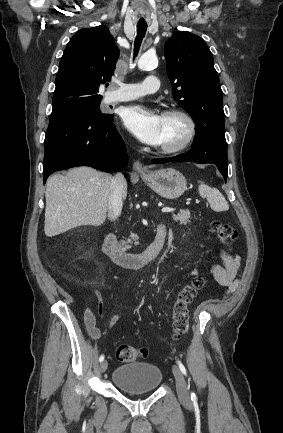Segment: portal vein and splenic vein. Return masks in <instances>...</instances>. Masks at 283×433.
Masks as SVG:
<instances>
[{
    "instance_id": "1",
    "label": "portal vein and splenic vein",
    "mask_w": 283,
    "mask_h": 433,
    "mask_svg": "<svg viewBox=\"0 0 283 433\" xmlns=\"http://www.w3.org/2000/svg\"><path fill=\"white\" fill-rule=\"evenodd\" d=\"M172 210H175V208H169V206H164V208H162V212H172Z\"/></svg>"
}]
</instances>
